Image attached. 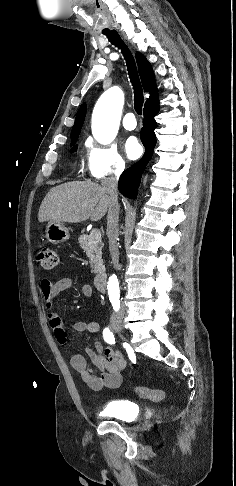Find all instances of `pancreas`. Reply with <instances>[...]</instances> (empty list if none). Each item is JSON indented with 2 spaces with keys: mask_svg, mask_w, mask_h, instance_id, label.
I'll return each instance as SVG.
<instances>
[{
  "mask_svg": "<svg viewBox=\"0 0 236 486\" xmlns=\"http://www.w3.org/2000/svg\"><path fill=\"white\" fill-rule=\"evenodd\" d=\"M80 247L86 252L87 257L90 259L91 272L99 274L105 270L102 260V247L103 243L101 239H95L90 235H81L78 239Z\"/></svg>",
  "mask_w": 236,
  "mask_h": 486,
  "instance_id": "cf45deb5",
  "label": "pancreas"
}]
</instances>
